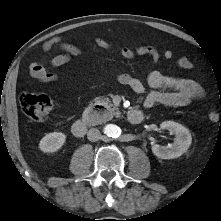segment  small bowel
<instances>
[{"label": "small bowel", "mask_w": 221, "mask_h": 221, "mask_svg": "<svg viewBox=\"0 0 221 221\" xmlns=\"http://www.w3.org/2000/svg\"><path fill=\"white\" fill-rule=\"evenodd\" d=\"M97 45L102 48H109V45L103 40H97ZM55 48H60L63 53L58 54L50 59V67H60L70 62L73 56H79L83 53V49L62 43V38L59 36L53 37L42 44V51L48 53ZM118 54L124 59H133L136 55H149L154 64L160 61L159 51L152 46H136L134 48L123 47L118 50ZM163 57L170 60L173 53L170 50H165ZM176 65L181 69H191L192 62L181 57L176 61ZM29 73L32 78L40 82H52L59 79V75L50 71L45 62H33L29 66ZM119 83L129 86L135 93L141 94L145 90L143 82L129 74L122 73L117 76ZM147 84L151 88L147 94L143 107L149 109L156 104H161L170 107H185L192 101L201 99L204 96V91L201 86L194 80L171 76L160 71H152L147 76Z\"/></svg>", "instance_id": "small-bowel-1"}]
</instances>
